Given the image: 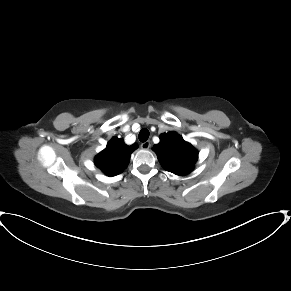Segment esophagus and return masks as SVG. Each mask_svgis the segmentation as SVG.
<instances>
[{"instance_id":"obj_1","label":"esophagus","mask_w":291,"mask_h":291,"mask_svg":"<svg viewBox=\"0 0 291 291\" xmlns=\"http://www.w3.org/2000/svg\"><path fill=\"white\" fill-rule=\"evenodd\" d=\"M150 146H151V144H150L149 141H146V142L141 143V148L144 149V150L149 149Z\"/></svg>"}]
</instances>
